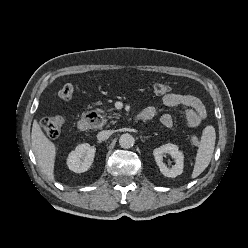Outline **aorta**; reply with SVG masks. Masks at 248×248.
Listing matches in <instances>:
<instances>
[{
	"mask_svg": "<svg viewBox=\"0 0 248 248\" xmlns=\"http://www.w3.org/2000/svg\"><path fill=\"white\" fill-rule=\"evenodd\" d=\"M135 143V139L131 134H122L119 138V144L124 149L131 148Z\"/></svg>",
	"mask_w": 248,
	"mask_h": 248,
	"instance_id": "1",
	"label": "aorta"
}]
</instances>
